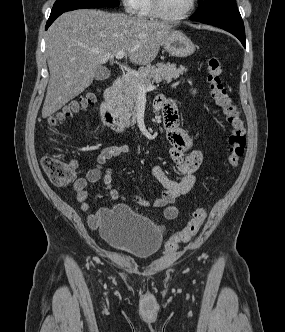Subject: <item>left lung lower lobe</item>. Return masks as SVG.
I'll use <instances>...</instances> for the list:
<instances>
[{"instance_id":"left-lung-lower-lobe-1","label":"left lung lower lobe","mask_w":285,"mask_h":332,"mask_svg":"<svg viewBox=\"0 0 285 332\" xmlns=\"http://www.w3.org/2000/svg\"><path fill=\"white\" fill-rule=\"evenodd\" d=\"M206 24L219 27L236 36L245 47V29L242 19L232 21L207 22Z\"/></svg>"}]
</instances>
